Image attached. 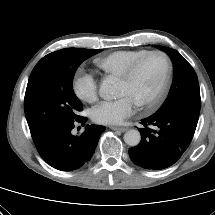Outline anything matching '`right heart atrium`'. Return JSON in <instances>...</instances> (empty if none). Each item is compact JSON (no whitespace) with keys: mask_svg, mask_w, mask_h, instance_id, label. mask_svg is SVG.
Returning <instances> with one entry per match:
<instances>
[{"mask_svg":"<svg viewBox=\"0 0 215 215\" xmlns=\"http://www.w3.org/2000/svg\"><path fill=\"white\" fill-rule=\"evenodd\" d=\"M73 89L77 97L85 102H93L98 95V85L91 73L80 70L73 80Z\"/></svg>","mask_w":215,"mask_h":215,"instance_id":"1","label":"right heart atrium"}]
</instances>
